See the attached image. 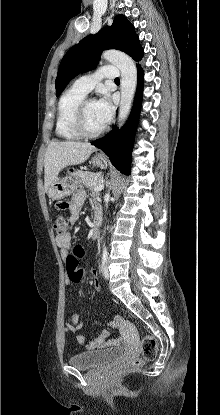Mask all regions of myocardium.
<instances>
[{
	"label": "myocardium",
	"mask_w": 220,
	"mask_h": 415,
	"mask_svg": "<svg viewBox=\"0 0 220 415\" xmlns=\"http://www.w3.org/2000/svg\"><path fill=\"white\" fill-rule=\"evenodd\" d=\"M90 102H93V100L87 99V98L83 99L76 107L74 114H73V118H72V126L74 130L80 137H83V138H96L100 136L105 130L104 125L95 132H90L87 130L85 126L84 114H85V108L87 104Z\"/></svg>",
	"instance_id": "obj_1"
}]
</instances>
